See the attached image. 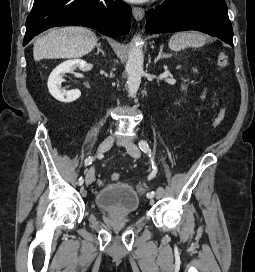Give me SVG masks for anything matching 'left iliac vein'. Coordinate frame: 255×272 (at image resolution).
<instances>
[{
  "mask_svg": "<svg viewBox=\"0 0 255 272\" xmlns=\"http://www.w3.org/2000/svg\"><path fill=\"white\" fill-rule=\"evenodd\" d=\"M126 149L129 155H131L132 157L134 158L140 157V149L135 144L127 145ZM163 194H164V189L162 187H158L156 189V197L161 198Z\"/></svg>",
  "mask_w": 255,
  "mask_h": 272,
  "instance_id": "1",
  "label": "left iliac vein"
}]
</instances>
